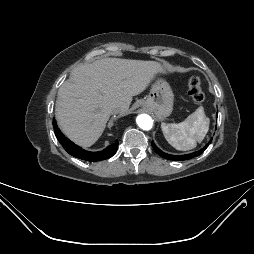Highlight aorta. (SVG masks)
<instances>
[{
  "mask_svg": "<svg viewBox=\"0 0 254 254\" xmlns=\"http://www.w3.org/2000/svg\"><path fill=\"white\" fill-rule=\"evenodd\" d=\"M136 122L138 126L143 130H150L153 125L152 118L147 114H141L137 117Z\"/></svg>",
  "mask_w": 254,
  "mask_h": 254,
  "instance_id": "1",
  "label": "aorta"
}]
</instances>
